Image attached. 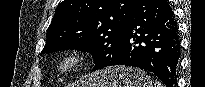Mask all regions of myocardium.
Returning a JSON list of instances; mask_svg holds the SVG:
<instances>
[{
	"mask_svg": "<svg viewBox=\"0 0 205 87\" xmlns=\"http://www.w3.org/2000/svg\"><path fill=\"white\" fill-rule=\"evenodd\" d=\"M86 55L79 49H70L60 53L54 61L55 73L59 76L69 75L82 68Z\"/></svg>",
	"mask_w": 205,
	"mask_h": 87,
	"instance_id": "1",
	"label": "myocardium"
}]
</instances>
